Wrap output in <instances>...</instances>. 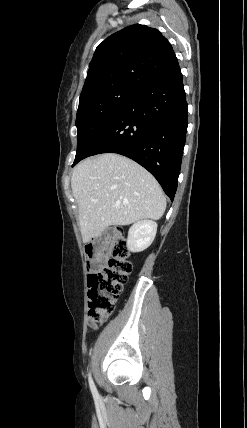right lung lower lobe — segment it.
<instances>
[{"mask_svg":"<svg viewBox=\"0 0 247 428\" xmlns=\"http://www.w3.org/2000/svg\"><path fill=\"white\" fill-rule=\"evenodd\" d=\"M188 125V109L178 62L141 89L103 128L80 160L118 153L146 168L173 201Z\"/></svg>","mask_w":247,"mask_h":428,"instance_id":"98d812e1","label":"right lung lower lobe"}]
</instances>
